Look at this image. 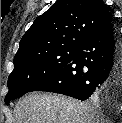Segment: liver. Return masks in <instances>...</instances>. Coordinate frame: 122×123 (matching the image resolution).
<instances>
[{"instance_id": "obj_1", "label": "liver", "mask_w": 122, "mask_h": 123, "mask_svg": "<svg viewBox=\"0 0 122 123\" xmlns=\"http://www.w3.org/2000/svg\"><path fill=\"white\" fill-rule=\"evenodd\" d=\"M15 123H99L88 102L51 93H30L16 104Z\"/></svg>"}]
</instances>
